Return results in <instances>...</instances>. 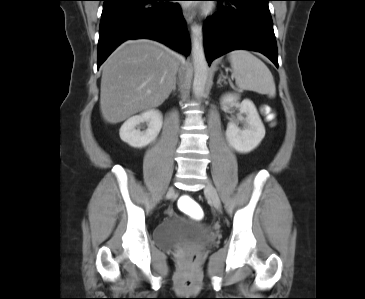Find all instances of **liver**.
<instances>
[{"label": "liver", "mask_w": 365, "mask_h": 299, "mask_svg": "<svg viewBox=\"0 0 365 299\" xmlns=\"http://www.w3.org/2000/svg\"><path fill=\"white\" fill-rule=\"evenodd\" d=\"M181 57L148 39L129 40L102 65L100 110L111 124L160 106L170 95Z\"/></svg>", "instance_id": "obj_1"}]
</instances>
